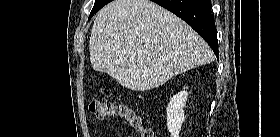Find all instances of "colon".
<instances>
[{
    "label": "colon",
    "instance_id": "obj_1",
    "mask_svg": "<svg viewBox=\"0 0 280 137\" xmlns=\"http://www.w3.org/2000/svg\"><path fill=\"white\" fill-rule=\"evenodd\" d=\"M90 112L96 116V118L103 120L112 116H122L127 119L129 124L135 128H142L140 118L135 112L120 102H110L95 100L89 105ZM142 137H154L153 131L150 129H144L142 131Z\"/></svg>",
    "mask_w": 280,
    "mask_h": 137
}]
</instances>
